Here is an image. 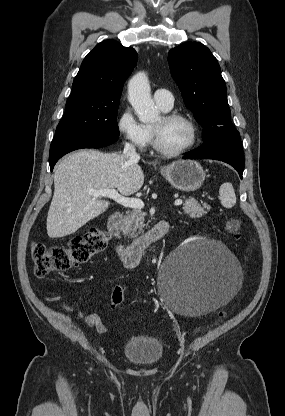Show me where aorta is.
<instances>
[{
  "label": "aorta",
  "instance_id": "762f6f07",
  "mask_svg": "<svg viewBox=\"0 0 285 416\" xmlns=\"http://www.w3.org/2000/svg\"><path fill=\"white\" fill-rule=\"evenodd\" d=\"M128 100L141 122H153L159 117L151 97L148 77L144 72L137 73L129 81Z\"/></svg>",
  "mask_w": 285,
  "mask_h": 416
}]
</instances>
